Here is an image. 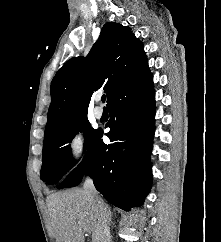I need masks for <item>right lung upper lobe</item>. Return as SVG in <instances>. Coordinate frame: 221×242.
<instances>
[{
    "label": "right lung upper lobe",
    "mask_w": 221,
    "mask_h": 242,
    "mask_svg": "<svg viewBox=\"0 0 221 242\" xmlns=\"http://www.w3.org/2000/svg\"><path fill=\"white\" fill-rule=\"evenodd\" d=\"M148 70L143 44L131 29L106 23L89 54L70 59L53 78L44 139L87 116L93 91L103 88L109 103L122 86Z\"/></svg>",
    "instance_id": "cb5924a9"
}]
</instances>
